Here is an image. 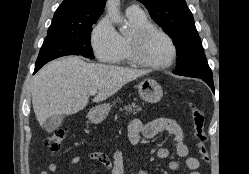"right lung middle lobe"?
<instances>
[{
    "label": "right lung middle lobe",
    "instance_id": "1",
    "mask_svg": "<svg viewBox=\"0 0 249 174\" xmlns=\"http://www.w3.org/2000/svg\"><path fill=\"white\" fill-rule=\"evenodd\" d=\"M96 21L66 29L48 30L36 66H43L55 58L66 55H82L87 58H94L90 36L91 27Z\"/></svg>",
    "mask_w": 249,
    "mask_h": 174
}]
</instances>
